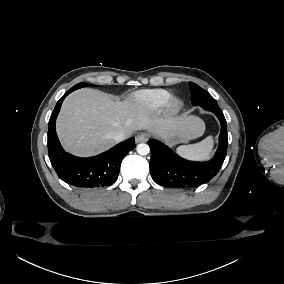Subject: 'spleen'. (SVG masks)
I'll list each match as a JSON object with an SVG mask.
<instances>
[{"label":"spleen","mask_w":284,"mask_h":284,"mask_svg":"<svg viewBox=\"0 0 284 284\" xmlns=\"http://www.w3.org/2000/svg\"><path fill=\"white\" fill-rule=\"evenodd\" d=\"M213 146V137L208 136L199 143L179 146L177 148V153L189 160H208L211 157Z\"/></svg>","instance_id":"3e777b00"}]
</instances>
